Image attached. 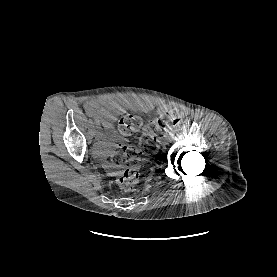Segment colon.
Masks as SVG:
<instances>
[{
  "instance_id": "obj_1",
  "label": "colon",
  "mask_w": 277,
  "mask_h": 277,
  "mask_svg": "<svg viewBox=\"0 0 277 277\" xmlns=\"http://www.w3.org/2000/svg\"><path fill=\"white\" fill-rule=\"evenodd\" d=\"M180 122V112L173 110L161 115L152 125L149 132L141 139L139 147L136 146H111L107 149L109 160L114 165H130L131 167L116 175V183L126 191L136 187L139 182V172L134 167L143 158L150 157L159 150L160 138L166 130L172 129ZM143 120L135 114H126L119 119L118 128L124 135L139 131Z\"/></svg>"
}]
</instances>
